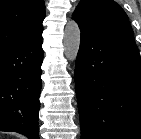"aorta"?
<instances>
[{"label":"aorta","instance_id":"aorta-1","mask_svg":"<svg viewBox=\"0 0 141 139\" xmlns=\"http://www.w3.org/2000/svg\"><path fill=\"white\" fill-rule=\"evenodd\" d=\"M81 32L78 24L69 21L64 30V53L69 61L76 60L80 48Z\"/></svg>","mask_w":141,"mask_h":139}]
</instances>
